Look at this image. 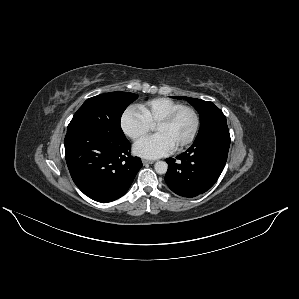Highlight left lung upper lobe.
<instances>
[{"mask_svg": "<svg viewBox=\"0 0 299 299\" xmlns=\"http://www.w3.org/2000/svg\"><path fill=\"white\" fill-rule=\"evenodd\" d=\"M176 99H186L199 113L200 129L195 140L219 129H228L226 117L213 102L196 98L173 96Z\"/></svg>", "mask_w": 299, "mask_h": 299, "instance_id": "5c2ea615", "label": "left lung upper lobe"}]
</instances>
